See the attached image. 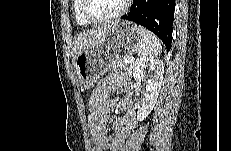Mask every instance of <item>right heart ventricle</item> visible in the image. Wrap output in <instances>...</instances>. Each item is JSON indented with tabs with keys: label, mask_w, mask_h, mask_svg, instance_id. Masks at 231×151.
Instances as JSON below:
<instances>
[{
	"label": "right heart ventricle",
	"mask_w": 231,
	"mask_h": 151,
	"mask_svg": "<svg viewBox=\"0 0 231 151\" xmlns=\"http://www.w3.org/2000/svg\"><path fill=\"white\" fill-rule=\"evenodd\" d=\"M73 10H74L75 19L78 24L83 26H87L90 24V22L87 21L82 14V0H75Z\"/></svg>",
	"instance_id": "right-heart-ventricle-1"
}]
</instances>
